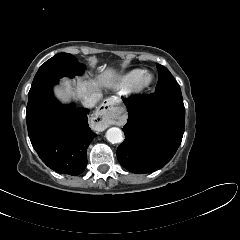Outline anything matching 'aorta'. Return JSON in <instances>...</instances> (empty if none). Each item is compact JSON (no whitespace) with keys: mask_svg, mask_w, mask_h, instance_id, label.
<instances>
[{"mask_svg":"<svg viewBox=\"0 0 240 240\" xmlns=\"http://www.w3.org/2000/svg\"><path fill=\"white\" fill-rule=\"evenodd\" d=\"M106 139L113 144L122 142L123 140L122 130L117 127L109 128L106 132Z\"/></svg>","mask_w":240,"mask_h":240,"instance_id":"aorta-1","label":"aorta"}]
</instances>
